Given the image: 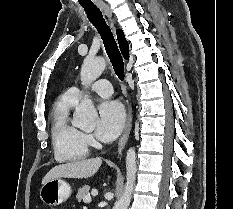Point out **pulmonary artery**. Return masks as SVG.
<instances>
[{
    "instance_id": "1",
    "label": "pulmonary artery",
    "mask_w": 233,
    "mask_h": 209,
    "mask_svg": "<svg viewBox=\"0 0 233 209\" xmlns=\"http://www.w3.org/2000/svg\"><path fill=\"white\" fill-rule=\"evenodd\" d=\"M89 90L99 96L102 97H109L113 93V88L111 83L106 79H99L94 82L90 87ZM75 100H79L82 95L83 91L79 87H72L67 91Z\"/></svg>"
}]
</instances>
